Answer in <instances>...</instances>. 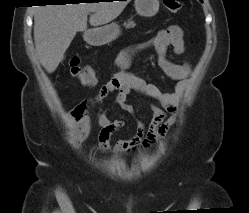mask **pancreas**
I'll return each mask as SVG.
<instances>
[{"instance_id": "1", "label": "pancreas", "mask_w": 249, "mask_h": 213, "mask_svg": "<svg viewBox=\"0 0 249 213\" xmlns=\"http://www.w3.org/2000/svg\"><path fill=\"white\" fill-rule=\"evenodd\" d=\"M124 26L126 28H132L135 26V23H134V21H132V19H129L127 22L124 23Z\"/></svg>"}]
</instances>
